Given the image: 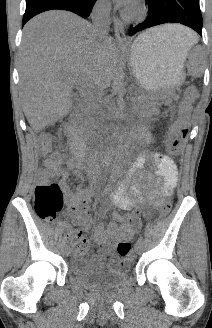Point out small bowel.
Masks as SVG:
<instances>
[{
	"mask_svg": "<svg viewBox=\"0 0 212 328\" xmlns=\"http://www.w3.org/2000/svg\"><path fill=\"white\" fill-rule=\"evenodd\" d=\"M145 137V133H142ZM155 165V175L158 177L157 189H150L152 175L144 171L146 162ZM79 162L75 159L67 160L66 156L58 151L53 152L44 161V174L61 180L69 211L74 222L84 228H90L92 220L90 211V194L84 188L71 191L66 184L69 172L80 176ZM130 179L133 183L130 192L127 184ZM178 181V171L174 161L160 152H142L130 166L126 177L117 185L112 193L114 205L125 210L127 214L113 212L112 222L109 225L99 223L94 231V242L99 250L89 260V269L104 274L117 270L120 267V258L113 254L116 244L121 240L131 239L141 227L142 216L149 215L151 207L162 203V195H170ZM148 205V207H146ZM85 238V237H84ZM90 241L85 238L82 247L74 248V256L82 257L89 249ZM110 259L107 262V257Z\"/></svg>",
	"mask_w": 212,
	"mask_h": 328,
	"instance_id": "small-bowel-1",
	"label": "small bowel"
}]
</instances>
